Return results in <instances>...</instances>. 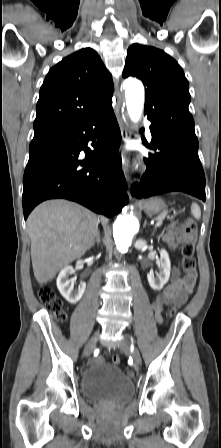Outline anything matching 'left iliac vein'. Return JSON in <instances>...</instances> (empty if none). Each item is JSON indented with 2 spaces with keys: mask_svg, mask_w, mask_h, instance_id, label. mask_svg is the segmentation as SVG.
Masks as SVG:
<instances>
[{
  "mask_svg": "<svg viewBox=\"0 0 221 448\" xmlns=\"http://www.w3.org/2000/svg\"><path fill=\"white\" fill-rule=\"evenodd\" d=\"M121 348L126 353H131L133 361L136 365L141 363V354L134 344L124 335V339L121 341Z\"/></svg>",
  "mask_w": 221,
  "mask_h": 448,
  "instance_id": "left-iliac-vein-1",
  "label": "left iliac vein"
}]
</instances>
